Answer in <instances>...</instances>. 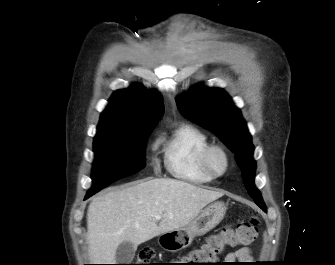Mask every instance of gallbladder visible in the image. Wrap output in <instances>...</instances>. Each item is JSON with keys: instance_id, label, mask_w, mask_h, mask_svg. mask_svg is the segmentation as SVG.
Segmentation results:
<instances>
[{"instance_id": "bac80fb5", "label": "gallbladder", "mask_w": 335, "mask_h": 265, "mask_svg": "<svg viewBox=\"0 0 335 265\" xmlns=\"http://www.w3.org/2000/svg\"><path fill=\"white\" fill-rule=\"evenodd\" d=\"M135 251L136 246L133 243L124 241L116 250L115 261L117 264H129L135 256Z\"/></svg>"}]
</instances>
